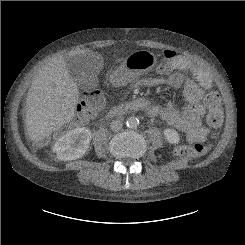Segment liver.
Returning <instances> with one entry per match:
<instances>
[{"label": "liver", "mask_w": 245, "mask_h": 245, "mask_svg": "<svg viewBox=\"0 0 245 245\" xmlns=\"http://www.w3.org/2000/svg\"><path fill=\"white\" fill-rule=\"evenodd\" d=\"M90 50L70 51L49 61L33 79L26 97V131L39 142L75 117L79 90L67 68V58Z\"/></svg>", "instance_id": "6515ba94"}]
</instances>
